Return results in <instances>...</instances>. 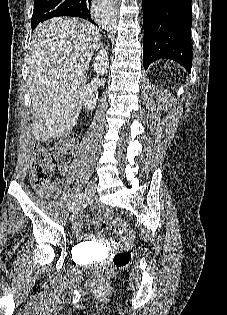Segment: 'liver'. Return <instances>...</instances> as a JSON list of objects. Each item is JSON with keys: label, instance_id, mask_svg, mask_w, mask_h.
Returning <instances> with one entry per match:
<instances>
[{"label": "liver", "instance_id": "6515ba94", "mask_svg": "<svg viewBox=\"0 0 227 315\" xmlns=\"http://www.w3.org/2000/svg\"><path fill=\"white\" fill-rule=\"evenodd\" d=\"M100 38L99 28L72 17L47 20L34 30L27 64L37 141L62 137L76 125Z\"/></svg>", "mask_w": 227, "mask_h": 315}]
</instances>
